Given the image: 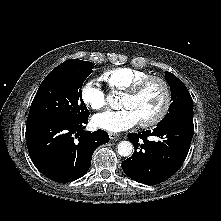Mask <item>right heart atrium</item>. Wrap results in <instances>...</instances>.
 Instances as JSON below:
<instances>
[{"instance_id": "d8ad5b80", "label": "right heart atrium", "mask_w": 221, "mask_h": 221, "mask_svg": "<svg viewBox=\"0 0 221 221\" xmlns=\"http://www.w3.org/2000/svg\"><path fill=\"white\" fill-rule=\"evenodd\" d=\"M80 97L87 107L95 111H100L107 105L106 93L93 79L87 80L82 85Z\"/></svg>"}]
</instances>
